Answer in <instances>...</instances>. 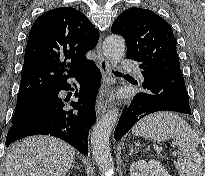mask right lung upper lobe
<instances>
[{
    "instance_id": "cb5924a9",
    "label": "right lung upper lobe",
    "mask_w": 205,
    "mask_h": 176,
    "mask_svg": "<svg viewBox=\"0 0 205 176\" xmlns=\"http://www.w3.org/2000/svg\"><path fill=\"white\" fill-rule=\"evenodd\" d=\"M98 38V30L74 8L53 9L37 18L28 36L18 99L53 90L77 75L91 62L85 53Z\"/></svg>"
}]
</instances>
